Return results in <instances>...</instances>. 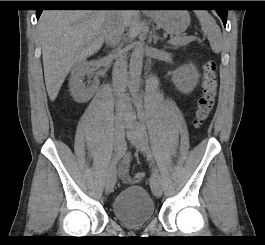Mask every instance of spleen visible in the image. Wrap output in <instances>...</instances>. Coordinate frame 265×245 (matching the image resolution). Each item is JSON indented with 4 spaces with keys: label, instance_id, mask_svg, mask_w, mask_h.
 <instances>
[{
    "label": "spleen",
    "instance_id": "3e777b00",
    "mask_svg": "<svg viewBox=\"0 0 265 245\" xmlns=\"http://www.w3.org/2000/svg\"><path fill=\"white\" fill-rule=\"evenodd\" d=\"M199 19L203 33L208 37L210 46L215 53L223 49V39L219 26L214 18L205 10L195 11Z\"/></svg>",
    "mask_w": 265,
    "mask_h": 245
}]
</instances>
